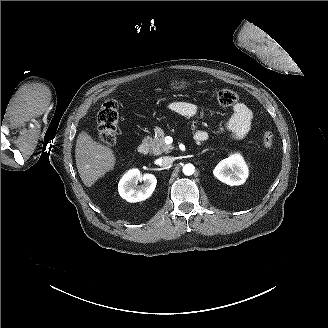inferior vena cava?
I'll list each match as a JSON object with an SVG mask.
<instances>
[{
    "label": "inferior vena cava",
    "mask_w": 328,
    "mask_h": 328,
    "mask_svg": "<svg viewBox=\"0 0 328 328\" xmlns=\"http://www.w3.org/2000/svg\"><path fill=\"white\" fill-rule=\"evenodd\" d=\"M159 161H160L159 165L161 167H167L173 163V158L171 156H163L159 158Z\"/></svg>",
    "instance_id": "obj_1"
}]
</instances>
